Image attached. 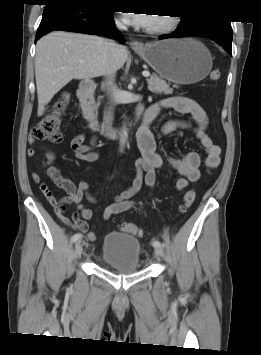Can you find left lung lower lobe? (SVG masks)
<instances>
[{
  "instance_id": "obj_1",
  "label": "left lung lower lobe",
  "mask_w": 261,
  "mask_h": 355,
  "mask_svg": "<svg viewBox=\"0 0 261 355\" xmlns=\"http://www.w3.org/2000/svg\"><path fill=\"white\" fill-rule=\"evenodd\" d=\"M175 37H204L220 44L232 55V28L230 21L216 18H201L195 24H185L181 21L176 32L162 35L160 39Z\"/></svg>"
}]
</instances>
